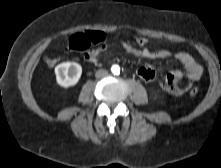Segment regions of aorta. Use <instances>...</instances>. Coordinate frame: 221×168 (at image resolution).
<instances>
[{
  "label": "aorta",
  "mask_w": 221,
  "mask_h": 168,
  "mask_svg": "<svg viewBox=\"0 0 221 168\" xmlns=\"http://www.w3.org/2000/svg\"><path fill=\"white\" fill-rule=\"evenodd\" d=\"M111 71H112L113 74H119V73H120V67H119V65H113V66L111 67Z\"/></svg>",
  "instance_id": "1"
}]
</instances>
